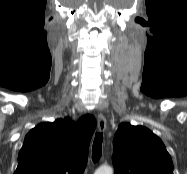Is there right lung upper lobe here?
I'll return each instance as SVG.
<instances>
[{"label":"right lung upper lobe","instance_id":"1","mask_svg":"<svg viewBox=\"0 0 187 174\" xmlns=\"http://www.w3.org/2000/svg\"><path fill=\"white\" fill-rule=\"evenodd\" d=\"M95 127L96 120L85 127L69 118L37 125L25 136L14 174H83Z\"/></svg>","mask_w":187,"mask_h":174}]
</instances>
